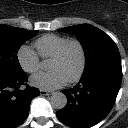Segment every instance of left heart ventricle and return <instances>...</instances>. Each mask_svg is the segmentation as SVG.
Here are the masks:
<instances>
[{"instance_id": "left-heart-ventricle-1", "label": "left heart ventricle", "mask_w": 128, "mask_h": 128, "mask_svg": "<svg viewBox=\"0 0 128 128\" xmlns=\"http://www.w3.org/2000/svg\"><path fill=\"white\" fill-rule=\"evenodd\" d=\"M80 65V51L76 46H73L69 49L66 57L63 60H51L49 63V70L59 71L68 80L77 74Z\"/></svg>"}]
</instances>
